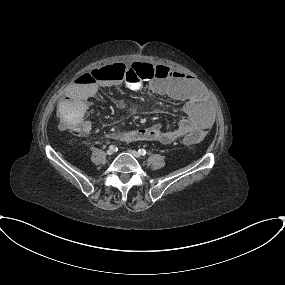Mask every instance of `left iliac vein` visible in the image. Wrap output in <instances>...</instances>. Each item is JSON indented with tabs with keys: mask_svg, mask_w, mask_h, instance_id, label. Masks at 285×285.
<instances>
[{
	"mask_svg": "<svg viewBox=\"0 0 285 285\" xmlns=\"http://www.w3.org/2000/svg\"><path fill=\"white\" fill-rule=\"evenodd\" d=\"M128 152L135 158L139 159L141 156L136 150L129 149Z\"/></svg>",
	"mask_w": 285,
	"mask_h": 285,
	"instance_id": "4c4485c4",
	"label": "left iliac vein"
}]
</instances>
